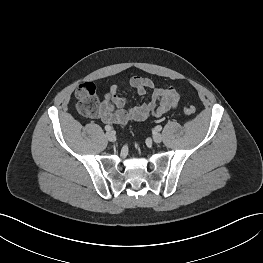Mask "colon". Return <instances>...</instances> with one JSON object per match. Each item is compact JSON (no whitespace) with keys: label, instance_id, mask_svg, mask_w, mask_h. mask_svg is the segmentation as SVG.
Returning <instances> with one entry per match:
<instances>
[{"label":"colon","instance_id":"obj_1","mask_svg":"<svg viewBox=\"0 0 263 263\" xmlns=\"http://www.w3.org/2000/svg\"><path fill=\"white\" fill-rule=\"evenodd\" d=\"M77 109L86 115L93 113L98 104L96 86L91 82H85L78 86L76 91ZM184 112L188 115L194 114L196 108L193 105H186Z\"/></svg>","mask_w":263,"mask_h":263}]
</instances>
